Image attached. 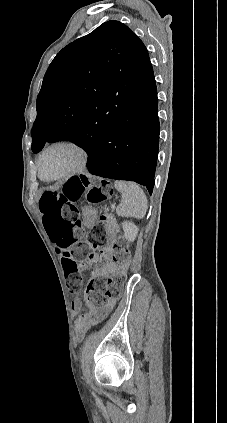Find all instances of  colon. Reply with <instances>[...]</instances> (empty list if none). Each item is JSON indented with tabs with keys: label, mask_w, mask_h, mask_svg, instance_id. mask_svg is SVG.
<instances>
[{
	"label": "colon",
	"mask_w": 227,
	"mask_h": 423,
	"mask_svg": "<svg viewBox=\"0 0 227 423\" xmlns=\"http://www.w3.org/2000/svg\"><path fill=\"white\" fill-rule=\"evenodd\" d=\"M87 192L90 202H101L112 194L106 183L94 182L85 177H74L58 189H46L39 199V209L44 227L61 254L62 266L70 293H78L83 282V272L92 263L93 254L85 244L75 250L73 246L81 234V222L77 202ZM115 225L114 217L103 214L89 235V244L94 248L108 242L109 230ZM113 260L121 270L108 278L92 277L85 289V300L92 311L104 307L110 300L121 296L131 259L127 245L118 241L113 246Z\"/></svg>",
	"instance_id": "colon-1"
}]
</instances>
